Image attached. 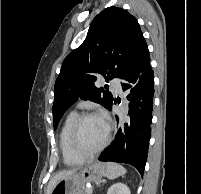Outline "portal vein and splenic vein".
I'll return each instance as SVG.
<instances>
[{
    "label": "portal vein and splenic vein",
    "mask_w": 201,
    "mask_h": 194,
    "mask_svg": "<svg viewBox=\"0 0 201 194\" xmlns=\"http://www.w3.org/2000/svg\"><path fill=\"white\" fill-rule=\"evenodd\" d=\"M87 192H88V194H92L93 191H92V189H88Z\"/></svg>",
    "instance_id": "obj_1"
}]
</instances>
